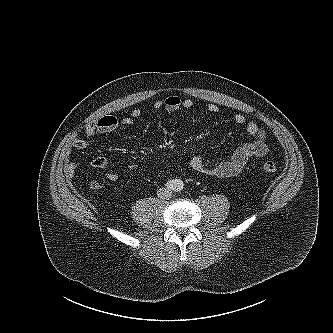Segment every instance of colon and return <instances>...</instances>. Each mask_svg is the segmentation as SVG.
<instances>
[{"label": "colon", "mask_w": 333, "mask_h": 333, "mask_svg": "<svg viewBox=\"0 0 333 333\" xmlns=\"http://www.w3.org/2000/svg\"><path fill=\"white\" fill-rule=\"evenodd\" d=\"M277 168H278V162L274 158L265 160L260 165V170L263 173H273L277 170ZM90 185H91L92 188H99V186H100L99 183H97V182H91Z\"/></svg>", "instance_id": "obj_1"}]
</instances>
